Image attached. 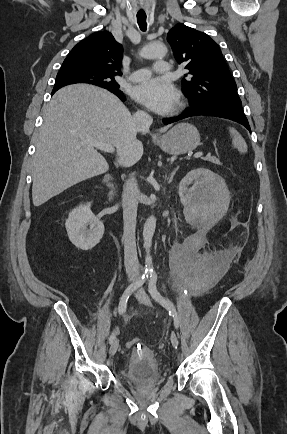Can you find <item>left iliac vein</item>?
<instances>
[{"instance_id": "4c4485c4", "label": "left iliac vein", "mask_w": 287, "mask_h": 434, "mask_svg": "<svg viewBox=\"0 0 287 434\" xmlns=\"http://www.w3.org/2000/svg\"><path fill=\"white\" fill-rule=\"evenodd\" d=\"M136 298L138 299V301H139L141 304H144V305H150V304H151V301H150V299H149V296L146 294V292H145L143 289H140V290L136 293ZM170 340H171V344H172V346H173L174 348H177V347H178V337H177V335H176L175 332H172V333H171Z\"/></svg>"}]
</instances>
